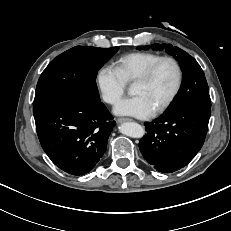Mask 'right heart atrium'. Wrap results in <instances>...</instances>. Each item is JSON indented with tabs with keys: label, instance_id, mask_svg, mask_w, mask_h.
I'll return each mask as SVG.
<instances>
[{
	"label": "right heart atrium",
	"instance_id": "right-heart-atrium-1",
	"mask_svg": "<svg viewBox=\"0 0 231 231\" xmlns=\"http://www.w3.org/2000/svg\"><path fill=\"white\" fill-rule=\"evenodd\" d=\"M96 84L102 99L110 105L117 104L126 89V82L117 70L109 65H104L98 70Z\"/></svg>",
	"mask_w": 231,
	"mask_h": 231
}]
</instances>
